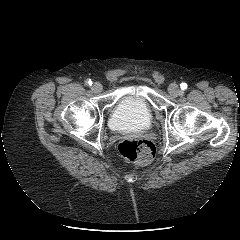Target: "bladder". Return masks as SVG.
I'll use <instances>...</instances> for the list:
<instances>
[{"label": "bladder", "instance_id": "31cf9c89", "mask_svg": "<svg viewBox=\"0 0 240 240\" xmlns=\"http://www.w3.org/2000/svg\"><path fill=\"white\" fill-rule=\"evenodd\" d=\"M153 121V109L142 97L125 95L109 116V125L115 131L143 130Z\"/></svg>", "mask_w": 240, "mask_h": 240}]
</instances>
